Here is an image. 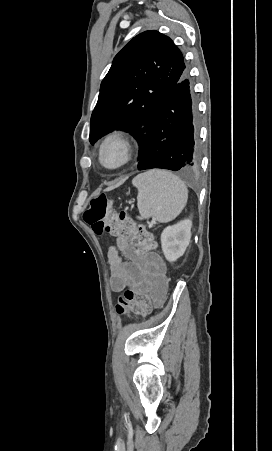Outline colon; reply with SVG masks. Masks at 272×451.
Instances as JSON below:
<instances>
[{"mask_svg":"<svg viewBox=\"0 0 272 451\" xmlns=\"http://www.w3.org/2000/svg\"><path fill=\"white\" fill-rule=\"evenodd\" d=\"M83 219L96 234L108 233L113 239H121L120 248L123 250L131 247L147 248L150 244L149 231L135 223L126 211L114 210L111 199L105 193L92 197L90 207L83 213ZM135 255L141 258L144 252L138 249ZM148 301L147 294L126 290L112 304L119 313H146L149 309Z\"/></svg>","mask_w":272,"mask_h":451,"instance_id":"colon-1","label":"colon"}]
</instances>
